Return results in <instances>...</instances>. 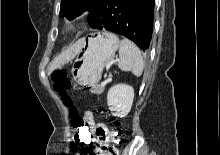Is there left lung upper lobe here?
I'll use <instances>...</instances> for the list:
<instances>
[{
  "mask_svg": "<svg viewBox=\"0 0 220 155\" xmlns=\"http://www.w3.org/2000/svg\"><path fill=\"white\" fill-rule=\"evenodd\" d=\"M99 0H62L60 16L72 20L83 11H90Z\"/></svg>",
  "mask_w": 220,
  "mask_h": 155,
  "instance_id": "left-lung-upper-lobe-1",
  "label": "left lung upper lobe"
}]
</instances>
